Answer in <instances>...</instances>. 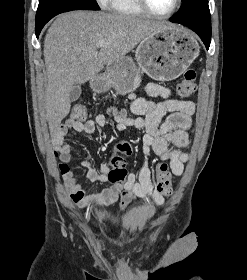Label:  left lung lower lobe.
<instances>
[{"label":"left lung lower lobe","instance_id":"left-lung-lower-lobe-1","mask_svg":"<svg viewBox=\"0 0 247 280\" xmlns=\"http://www.w3.org/2000/svg\"><path fill=\"white\" fill-rule=\"evenodd\" d=\"M170 21L180 23L184 26H188L190 29H192L195 33L198 34V36L201 38V40L205 44L206 49H209L210 42H211V28H204V27H200V26H196V25L184 24V23L180 22L179 20H177L176 18H172V19H170Z\"/></svg>","mask_w":247,"mask_h":280}]
</instances>
